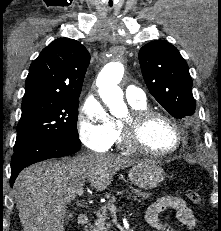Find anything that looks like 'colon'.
<instances>
[{"instance_id": "colon-1", "label": "colon", "mask_w": 221, "mask_h": 231, "mask_svg": "<svg viewBox=\"0 0 221 231\" xmlns=\"http://www.w3.org/2000/svg\"><path fill=\"white\" fill-rule=\"evenodd\" d=\"M186 195L192 204L199 205L201 203V196L197 191L188 189Z\"/></svg>"}]
</instances>
